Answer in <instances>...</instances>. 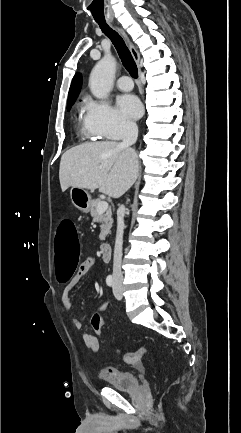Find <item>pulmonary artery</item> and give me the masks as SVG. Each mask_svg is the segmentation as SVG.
I'll list each match as a JSON object with an SVG mask.
<instances>
[{"label":"pulmonary artery","mask_w":241,"mask_h":433,"mask_svg":"<svg viewBox=\"0 0 241 433\" xmlns=\"http://www.w3.org/2000/svg\"><path fill=\"white\" fill-rule=\"evenodd\" d=\"M117 87L123 91H129L133 88V82L129 76L123 75L121 76L117 82Z\"/></svg>","instance_id":"e3ab8cb5"}]
</instances>
